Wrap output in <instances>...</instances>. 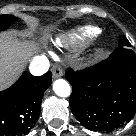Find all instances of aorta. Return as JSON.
Here are the masks:
<instances>
[{"label": "aorta", "instance_id": "obj_1", "mask_svg": "<svg viewBox=\"0 0 136 136\" xmlns=\"http://www.w3.org/2000/svg\"><path fill=\"white\" fill-rule=\"evenodd\" d=\"M53 90L59 97H68L71 94L69 83L64 79H58L53 84Z\"/></svg>", "mask_w": 136, "mask_h": 136}]
</instances>
